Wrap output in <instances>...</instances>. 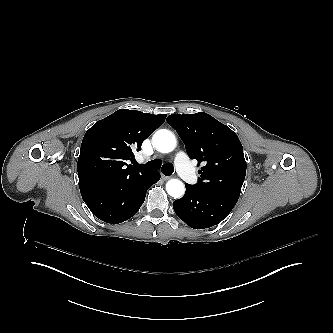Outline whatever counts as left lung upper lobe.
<instances>
[{
    "mask_svg": "<svg viewBox=\"0 0 333 333\" xmlns=\"http://www.w3.org/2000/svg\"><path fill=\"white\" fill-rule=\"evenodd\" d=\"M167 122L178 132L191 159L205 166L196 184L207 193L239 198L246 175L243 147L234 131L209 114L169 115Z\"/></svg>",
    "mask_w": 333,
    "mask_h": 333,
    "instance_id": "left-lung-upper-lobe-1",
    "label": "left lung upper lobe"
}]
</instances>
